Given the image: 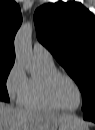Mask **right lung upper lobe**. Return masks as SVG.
I'll list each match as a JSON object with an SVG mask.
<instances>
[{
    "mask_svg": "<svg viewBox=\"0 0 95 130\" xmlns=\"http://www.w3.org/2000/svg\"><path fill=\"white\" fill-rule=\"evenodd\" d=\"M21 22L19 5L0 0V63H14V38Z\"/></svg>",
    "mask_w": 95,
    "mask_h": 130,
    "instance_id": "obj_1",
    "label": "right lung upper lobe"
}]
</instances>
